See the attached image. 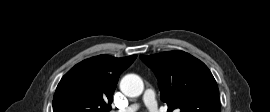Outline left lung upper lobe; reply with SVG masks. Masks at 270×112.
Returning <instances> with one entry per match:
<instances>
[{"mask_svg":"<svg viewBox=\"0 0 270 112\" xmlns=\"http://www.w3.org/2000/svg\"><path fill=\"white\" fill-rule=\"evenodd\" d=\"M140 58L155 73L167 112H220L217 83L199 59L184 51Z\"/></svg>","mask_w":270,"mask_h":112,"instance_id":"left-lung-upper-lobe-1","label":"left lung upper lobe"}]
</instances>
